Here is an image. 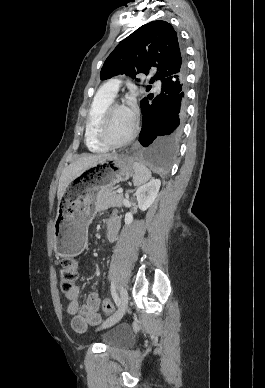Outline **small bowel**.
I'll use <instances>...</instances> for the list:
<instances>
[{
	"instance_id": "obj_1",
	"label": "small bowel",
	"mask_w": 265,
	"mask_h": 388,
	"mask_svg": "<svg viewBox=\"0 0 265 388\" xmlns=\"http://www.w3.org/2000/svg\"><path fill=\"white\" fill-rule=\"evenodd\" d=\"M113 224V227H110ZM120 228V220L117 214L113 213L107 222V239L115 241ZM81 288L75 285L69 292L65 293L66 312L72 316V327L76 332H84L88 325H97L101 321L98 314L101 307V299L96 292H90L83 304L79 302Z\"/></svg>"
}]
</instances>
